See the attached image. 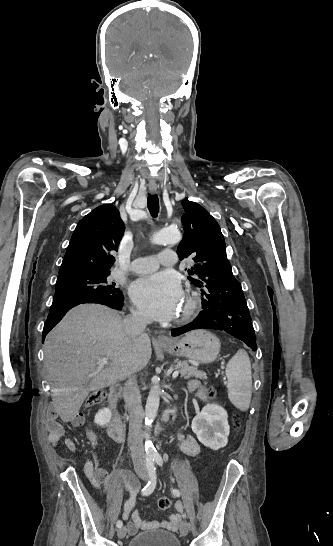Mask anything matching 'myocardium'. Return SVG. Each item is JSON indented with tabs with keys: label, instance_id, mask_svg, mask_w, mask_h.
<instances>
[{
	"label": "myocardium",
	"instance_id": "obj_1",
	"mask_svg": "<svg viewBox=\"0 0 333 546\" xmlns=\"http://www.w3.org/2000/svg\"><path fill=\"white\" fill-rule=\"evenodd\" d=\"M199 307L198 298L191 292H188L185 296V307L181 314L176 318V322L185 323L192 319Z\"/></svg>",
	"mask_w": 333,
	"mask_h": 546
}]
</instances>
